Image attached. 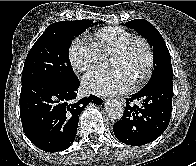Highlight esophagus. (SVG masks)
<instances>
[{
	"instance_id": "1",
	"label": "esophagus",
	"mask_w": 196,
	"mask_h": 166,
	"mask_svg": "<svg viewBox=\"0 0 196 166\" xmlns=\"http://www.w3.org/2000/svg\"><path fill=\"white\" fill-rule=\"evenodd\" d=\"M104 100H106V99H104ZM120 100H121V101H123L124 99H123V98H121Z\"/></svg>"
}]
</instances>
